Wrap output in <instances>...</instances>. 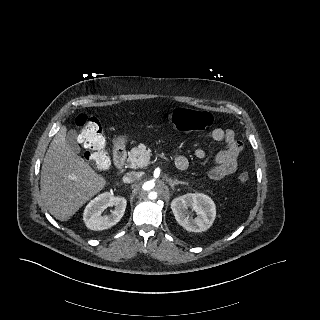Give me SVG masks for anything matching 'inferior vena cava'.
<instances>
[{
	"instance_id": "602c4592",
	"label": "inferior vena cava",
	"mask_w": 320,
	"mask_h": 320,
	"mask_svg": "<svg viewBox=\"0 0 320 320\" xmlns=\"http://www.w3.org/2000/svg\"><path fill=\"white\" fill-rule=\"evenodd\" d=\"M139 177L138 172L132 171V172H128L123 176V182L124 183H132L135 180H137Z\"/></svg>"
}]
</instances>
